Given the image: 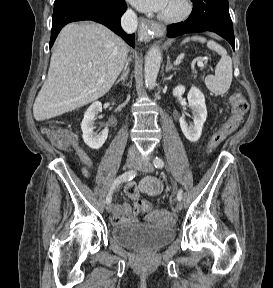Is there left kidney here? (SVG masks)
Returning <instances> with one entry per match:
<instances>
[{
  "label": "left kidney",
  "mask_w": 273,
  "mask_h": 288,
  "mask_svg": "<svg viewBox=\"0 0 273 288\" xmlns=\"http://www.w3.org/2000/svg\"><path fill=\"white\" fill-rule=\"evenodd\" d=\"M185 87L178 85L173 90L174 96H182ZM189 107L193 114V123L188 125L184 117H180L179 123L184 136L190 142H197L202 134L203 125L207 118V109L203 93L195 86H192L187 95Z\"/></svg>",
  "instance_id": "left-kidney-1"
}]
</instances>
